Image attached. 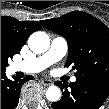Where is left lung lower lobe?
I'll return each mask as SVG.
<instances>
[{
	"label": "left lung lower lobe",
	"instance_id": "left-lung-lower-lobe-1",
	"mask_svg": "<svg viewBox=\"0 0 109 109\" xmlns=\"http://www.w3.org/2000/svg\"><path fill=\"white\" fill-rule=\"evenodd\" d=\"M58 84L59 82H56V85ZM60 87L63 89V85ZM70 88L68 90L65 86L62 98L52 103L53 109H98L109 96V79L84 75L76 77Z\"/></svg>",
	"mask_w": 109,
	"mask_h": 109
}]
</instances>
